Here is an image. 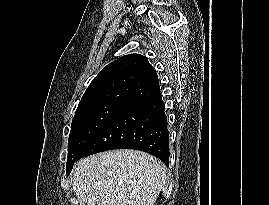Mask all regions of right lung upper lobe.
I'll return each instance as SVG.
<instances>
[{"label":"right lung upper lobe","mask_w":269,"mask_h":205,"mask_svg":"<svg viewBox=\"0 0 269 205\" xmlns=\"http://www.w3.org/2000/svg\"><path fill=\"white\" fill-rule=\"evenodd\" d=\"M158 94V77L147 58L130 54L102 69L87 88L78 108L100 104L129 107Z\"/></svg>","instance_id":"right-lung-upper-lobe-1"}]
</instances>
